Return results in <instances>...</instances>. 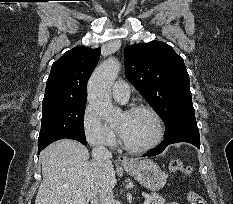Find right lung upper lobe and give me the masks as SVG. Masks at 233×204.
Instances as JSON below:
<instances>
[{"label": "right lung upper lobe", "instance_id": "obj_1", "mask_svg": "<svg viewBox=\"0 0 233 204\" xmlns=\"http://www.w3.org/2000/svg\"><path fill=\"white\" fill-rule=\"evenodd\" d=\"M100 58V48L78 46L52 64L43 103L86 100L87 81Z\"/></svg>", "mask_w": 233, "mask_h": 204}]
</instances>
